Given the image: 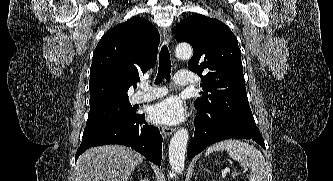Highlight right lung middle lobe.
Segmentation results:
<instances>
[{
  "label": "right lung middle lobe",
  "instance_id": "obj_1",
  "mask_svg": "<svg viewBox=\"0 0 333 181\" xmlns=\"http://www.w3.org/2000/svg\"><path fill=\"white\" fill-rule=\"evenodd\" d=\"M134 113L128 99L90 109L84 131L129 117Z\"/></svg>",
  "mask_w": 333,
  "mask_h": 181
}]
</instances>
